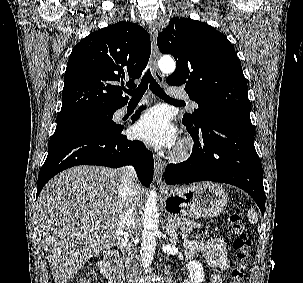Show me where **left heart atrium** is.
Segmentation results:
<instances>
[{"mask_svg": "<svg viewBox=\"0 0 303 283\" xmlns=\"http://www.w3.org/2000/svg\"><path fill=\"white\" fill-rule=\"evenodd\" d=\"M136 138L156 147H170L176 142V130L162 108L145 112L134 126Z\"/></svg>", "mask_w": 303, "mask_h": 283, "instance_id": "left-heart-atrium-1", "label": "left heart atrium"}]
</instances>
